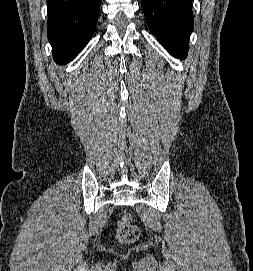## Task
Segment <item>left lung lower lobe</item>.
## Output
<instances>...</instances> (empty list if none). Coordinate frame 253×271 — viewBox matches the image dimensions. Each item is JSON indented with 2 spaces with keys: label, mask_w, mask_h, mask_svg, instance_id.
I'll return each instance as SVG.
<instances>
[{
  "label": "left lung lower lobe",
  "mask_w": 253,
  "mask_h": 271,
  "mask_svg": "<svg viewBox=\"0 0 253 271\" xmlns=\"http://www.w3.org/2000/svg\"><path fill=\"white\" fill-rule=\"evenodd\" d=\"M149 29L173 56L187 55L193 30L192 0H141Z\"/></svg>",
  "instance_id": "0a47b994"
}]
</instances>
